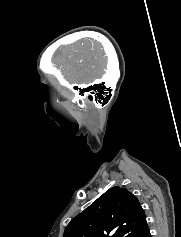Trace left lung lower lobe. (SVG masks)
Returning <instances> with one entry per match:
<instances>
[{
	"instance_id": "1",
	"label": "left lung lower lobe",
	"mask_w": 181,
	"mask_h": 237,
	"mask_svg": "<svg viewBox=\"0 0 181 237\" xmlns=\"http://www.w3.org/2000/svg\"><path fill=\"white\" fill-rule=\"evenodd\" d=\"M139 237H151L149 228H147Z\"/></svg>"
}]
</instances>
